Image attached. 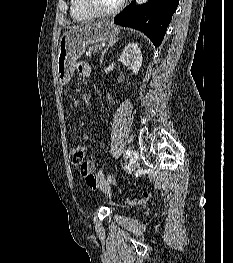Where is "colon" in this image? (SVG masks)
I'll list each match as a JSON object with an SVG mask.
<instances>
[{
  "mask_svg": "<svg viewBox=\"0 0 233 263\" xmlns=\"http://www.w3.org/2000/svg\"><path fill=\"white\" fill-rule=\"evenodd\" d=\"M70 159L74 165H79L80 168H84L86 165V147L83 145H75L70 149ZM106 182H110V178L104 175ZM86 181L90 185L96 183V178L94 175L86 173ZM154 194L152 192H143L140 196L136 197L134 200L128 201L131 205H141L146 203Z\"/></svg>",
  "mask_w": 233,
  "mask_h": 263,
  "instance_id": "colon-1",
  "label": "colon"
}]
</instances>
